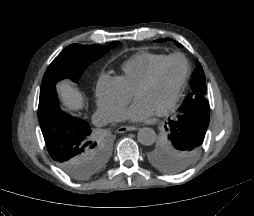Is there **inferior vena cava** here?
<instances>
[{
  "label": "inferior vena cava",
  "mask_w": 254,
  "mask_h": 216,
  "mask_svg": "<svg viewBox=\"0 0 254 216\" xmlns=\"http://www.w3.org/2000/svg\"><path fill=\"white\" fill-rule=\"evenodd\" d=\"M122 115L111 107L98 106L96 112L92 116V122L96 126H105L111 122L122 121Z\"/></svg>",
  "instance_id": "obj_1"
}]
</instances>
